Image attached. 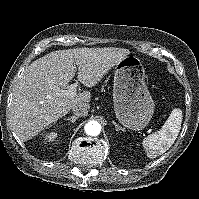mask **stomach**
<instances>
[{"instance_id": "1", "label": "stomach", "mask_w": 199, "mask_h": 199, "mask_svg": "<svg viewBox=\"0 0 199 199\" xmlns=\"http://www.w3.org/2000/svg\"><path fill=\"white\" fill-rule=\"evenodd\" d=\"M113 100L116 118L124 127L142 130L149 124L154 102L138 57L126 56L115 65Z\"/></svg>"}]
</instances>
